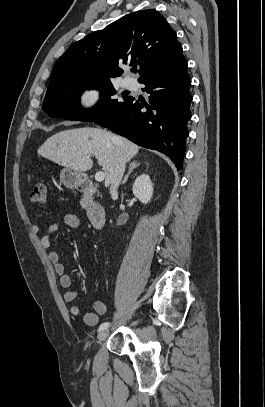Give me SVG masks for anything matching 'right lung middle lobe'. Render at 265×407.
Returning <instances> with one entry per match:
<instances>
[{
  "label": "right lung middle lobe",
  "instance_id": "obj_1",
  "mask_svg": "<svg viewBox=\"0 0 265 407\" xmlns=\"http://www.w3.org/2000/svg\"><path fill=\"white\" fill-rule=\"evenodd\" d=\"M86 89L101 91L100 101L90 110L83 109L80 105V95ZM115 94L116 91L110 80L60 81L49 85L43 110L51 117L91 122L123 103L113 98ZM123 99L125 101L128 97Z\"/></svg>",
  "mask_w": 265,
  "mask_h": 407
}]
</instances>
